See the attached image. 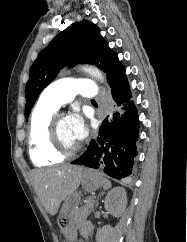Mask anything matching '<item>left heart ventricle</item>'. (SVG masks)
I'll return each mask as SVG.
<instances>
[{
  "label": "left heart ventricle",
  "mask_w": 187,
  "mask_h": 242,
  "mask_svg": "<svg viewBox=\"0 0 187 242\" xmlns=\"http://www.w3.org/2000/svg\"><path fill=\"white\" fill-rule=\"evenodd\" d=\"M57 136L60 146L65 150H70L78 145L69 126L68 118H63L57 125Z\"/></svg>",
  "instance_id": "obj_1"
}]
</instances>
